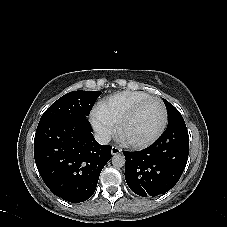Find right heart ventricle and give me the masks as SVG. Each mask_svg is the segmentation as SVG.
I'll use <instances>...</instances> for the list:
<instances>
[{"label": "right heart ventricle", "instance_id": "1", "mask_svg": "<svg viewBox=\"0 0 227 227\" xmlns=\"http://www.w3.org/2000/svg\"><path fill=\"white\" fill-rule=\"evenodd\" d=\"M148 97L149 94L140 91L118 92L102 100L96 107L97 112L115 125L137 103Z\"/></svg>", "mask_w": 227, "mask_h": 227}]
</instances>
